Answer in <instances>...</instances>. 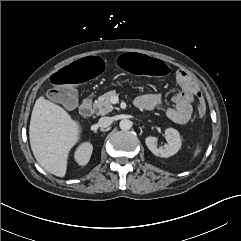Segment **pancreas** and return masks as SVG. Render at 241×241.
Wrapping results in <instances>:
<instances>
[{
	"mask_svg": "<svg viewBox=\"0 0 241 241\" xmlns=\"http://www.w3.org/2000/svg\"><path fill=\"white\" fill-rule=\"evenodd\" d=\"M117 93L115 90L109 91L101 96L98 97L97 100H95L93 106L94 109L96 110L97 114L99 115H105L109 112H111L114 107L112 106L111 103V98L113 96H116Z\"/></svg>",
	"mask_w": 241,
	"mask_h": 241,
	"instance_id": "obj_1",
	"label": "pancreas"
}]
</instances>
